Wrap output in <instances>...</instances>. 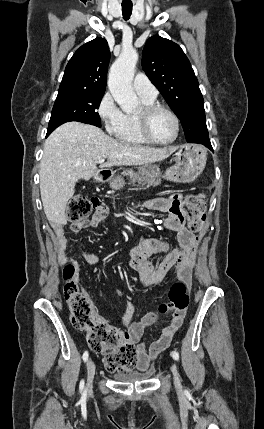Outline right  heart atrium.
Masks as SVG:
<instances>
[{"instance_id": "d8ad5b80", "label": "right heart atrium", "mask_w": 264, "mask_h": 429, "mask_svg": "<svg viewBox=\"0 0 264 429\" xmlns=\"http://www.w3.org/2000/svg\"><path fill=\"white\" fill-rule=\"evenodd\" d=\"M96 112L106 132L116 136L124 125L125 114L121 111L110 92H106L102 96Z\"/></svg>"}]
</instances>
